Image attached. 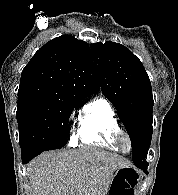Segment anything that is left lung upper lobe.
<instances>
[{"mask_svg": "<svg viewBox=\"0 0 178 195\" xmlns=\"http://www.w3.org/2000/svg\"><path fill=\"white\" fill-rule=\"evenodd\" d=\"M102 93L112 102L132 143V160L146 165L153 132L150 79L140 60L125 46L107 41L91 44Z\"/></svg>", "mask_w": 178, "mask_h": 195, "instance_id": "left-lung-upper-lobe-1", "label": "left lung upper lobe"}]
</instances>
